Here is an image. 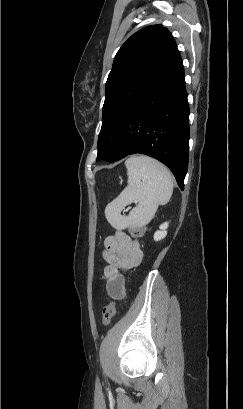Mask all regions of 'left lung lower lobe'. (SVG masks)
Listing matches in <instances>:
<instances>
[{
	"label": "left lung lower lobe",
	"instance_id": "obj_1",
	"mask_svg": "<svg viewBox=\"0 0 243 409\" xmlns=\"http://www.w3.org/2000/svg\"><path fill=\"white\" fill-rule=\"evenodd\" d=\"M189 107L184 68L176 49L127 114L110 163L141 153L164 163L183 190L188 167Z\"/></svg>",
	"mask_w": 243,
	"mask_h": 409
}]
</instances>
